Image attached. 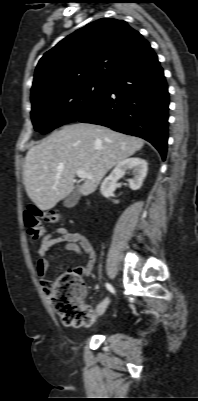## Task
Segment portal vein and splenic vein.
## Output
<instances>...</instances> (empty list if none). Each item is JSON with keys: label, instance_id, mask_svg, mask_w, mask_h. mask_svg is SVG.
<instances>
[{"label": "portal vein and splenic vein", "instance_id": "18ae733b", "mask_svg": "<svg viewBox=\"0 0 198 401\" xmlns=\"http://www.w3.org/2000/svg\"><path fill=\"white\" fill-rule=\"evenodd\" d=\"M76 174H77V176L78 177H80V178H88V179H91L93 176L92 175H90V174H88L87 172H85L84 170H77L76 171Z\"/></svg>", "mask_w": 198, "mask_h": 401}]
</instances>
